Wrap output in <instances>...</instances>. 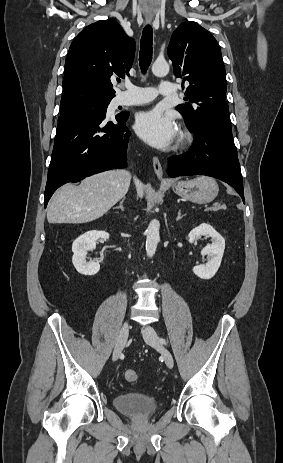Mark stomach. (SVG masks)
Returning a JSON list of instances; mask_svg holds the SVG:
<instances>
[{"instance_id": "stomach-1", "label": "stomach", "mask_w": 283, "mask_h": 463, "mask_svg": "<svg viewBox=\"0 0 283 463\" xmlns=\"http://www.w3.org/2000/svg\"><path fill=\"white\" fill-rule=\"evenodd\" d=\"M173 191L180 197L194 203L211 202L218 194L217 182L206 176L191 180H179L171 184Z\"/></svg>"}]
</instances>
